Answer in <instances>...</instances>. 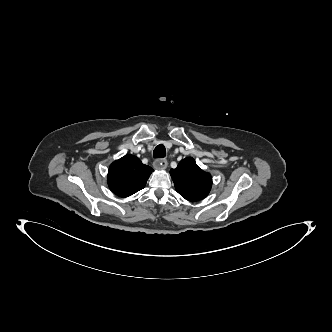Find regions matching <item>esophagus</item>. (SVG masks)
<instances>
[{"label": "esophagus", "instance_id": "34e87169", "mask_svg": "<svg viewBox=\"0 0 332 332\" xmlns=\"http://www.w3.org/2000/svg\"><path fill=\"white\" fill-rule=\"evenodd\" d=\"M153 165L157 170H165L167 168L168 162L166 159H157L154 161Z\"/></svg>", "mask_w": 332, "mask_h": 332}]
</instances>
